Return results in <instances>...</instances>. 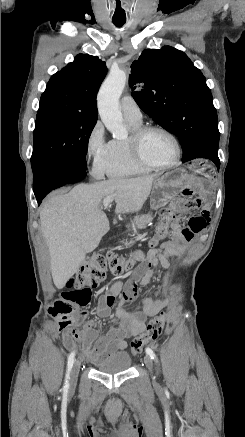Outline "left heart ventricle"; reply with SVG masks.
Wrapping results in <instances>:
<instances>
[{
    "label": "left heart ventricle",
    "instance_id": "1",
    "mask_svg": "<svg viewBox=\"0 0 245 437\" xmlns=\"http://www.w3.org/2000/svg\"><path fill=\"white\" fill-rule=\"evenodd\" d=\"M141 152L144 158L155 164H169L175 158L172 141L160 131H150L141 140Z\"/></svg>",
    "mask_w": 245,
    "mask_h": 437
}]
</instances>
